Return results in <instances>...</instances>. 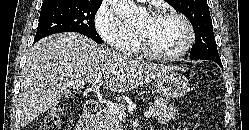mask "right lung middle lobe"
<instances>
[{"mask_svg": "<svg viewBox=\"0 0 249 130\" xmlns=\"http://www.w3.org/2000/svg\"><path fill=\"white\" fill-rule=\"evenodd\" d=\"M102 2L60 0L42 5L34 41L61 32H79L96 43H102L94 19Z\"/></svg>", "mask_w": 249, "mask_h": 130, "instance_id": "1", "label": "right lung middle lobe"}]
</instances>
